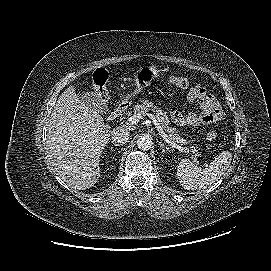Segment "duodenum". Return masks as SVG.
I'll return each instance as SVG.
<instances>
[{
	"label": "duodenum",
	"mask_w": 271,
	"mask_h": 271,
	"mask_svg": "<svg viewBox=\"0 0 271 271\" xmlns=\"http://www.w3.org/2000/svg\"><path fill=\"white\" fill-rule=\"evenodd\" d=\"M127 105L125 103H120L110 114L108 120L112 121L117 119L119 116L123 114V112L126 110Z\"/></svg>",
	"instance_id": "410a0bca"
}]
</instances>
